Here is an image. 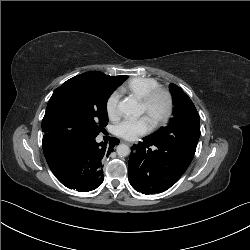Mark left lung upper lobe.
<instances>
[{"label":"left lung upper lobe","instance_id":"obj_1","mask_svg":"<svg viewBox=\"0 0 250 250\" xmlns=\"http://www.w3.org/2000/svg\"><path fill=\"white\" fill-rule=\"evenodd\" d=\"M170 91L174 101L173 118L166 127H162L151 136L170 137L176 130L186 131L192 126L200 125L198 112L189 96L177 85L171 83Z\"/></svg>","mask_w":250,"mask_h":250}]
</instances>
